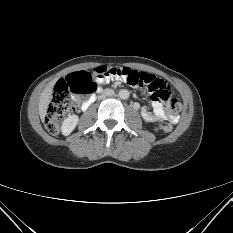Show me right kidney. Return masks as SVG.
<instances>
[{
    "label": "right kidney",
    "mask_w": 233,
    "mask_h": 233,
    "mask_svg": "<svg viewBox=\"0 0 233 233\" xmlns=\"http://www.w3.org/2000/svg\"><path fill=\"white\" fill-rule=\"evenodd\" d=\"M79 117L77 115H71L67 117L61 126L62 134L68 136L77 126Z\"/></svg>",
    "instance_id": "right-kidney-1"
}]
</instances>
